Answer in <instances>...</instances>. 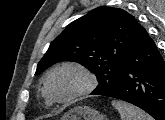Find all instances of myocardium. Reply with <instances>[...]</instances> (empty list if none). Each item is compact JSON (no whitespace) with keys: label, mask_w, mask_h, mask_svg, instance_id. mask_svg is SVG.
I'll use <instances>...</instances> for the list:
<instances>
[{"label":"myocardium","mask_w":165,"mask_h":120,"mask_svg":"<svg viewBox=\"0 0 165 120\" xmlns=\"http://www.w3.org/2000/svg\"><path fill=\"white\" fill-rule=\"evenodd\" d=\"M65 69H72L80 73L82 77L84 78V85L82 86L81 89H79L74 94L65 98H58L52 93L50 89V81L52 77L54 76V74ZM96 84H97V80H96L95 75L86 66L77 62L66 61L54 66L49 71V73L47 74L45 78L43 89L46 95L48 96V98L50 99V101L56 102V103H69L91 93L95 89Z\"/></svg>","instance_id":"f54148a6"}]
</instances>
